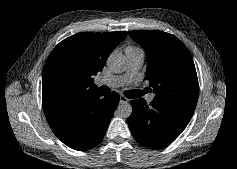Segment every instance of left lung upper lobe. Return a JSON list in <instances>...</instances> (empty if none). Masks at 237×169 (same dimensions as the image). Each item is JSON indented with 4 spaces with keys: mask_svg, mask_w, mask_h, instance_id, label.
I'll return each instance as SVG.
<instances>
[{
    "mask_svg": "<svg viewBox=\"0 0 237 169\" xmlns=\"http://www.w3.org/2000/svg\"><path fill=\"white\" fill-rule=\"evenodd\" d=\"M129 35L146 51L145 78L156 93L155 100L195 109L198 79L186 46L174 35L161 31H131Z\"/></svg>",
    "mask_w": 237,
    "mask_h": 169,
    "instance_id": "obj_1",
    "label": "left lung upper lobe"
}]
</instances>
